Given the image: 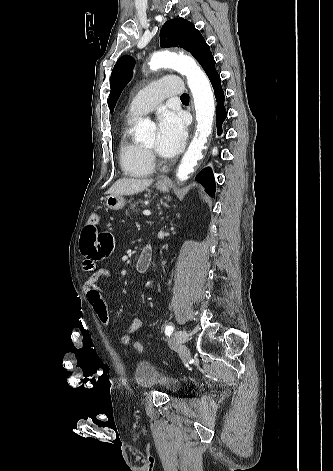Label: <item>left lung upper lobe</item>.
<instances>
[{"label": "left lung upper lobe", "mask_w": 333, "mask_h": 471, "mask_svg": "<svg viewBox=\"0 0 333 471\" xmlns=\"http://www.w3.org/2000/svg\"><path fill=\"white\" fill-rule=\"evenodd\" d=\"M160 46L180 47L190 52L202 65L211 55L210 47L193 23L183 18L171 19L165 22L160 30ZM134 60L130 56H122L116 62L111 73V91L109 108L113 113L116 101L123 88L132 78Z\"/></svg>", "instance_id": "5c2ea615"}]
</instances>
